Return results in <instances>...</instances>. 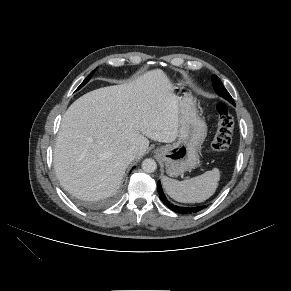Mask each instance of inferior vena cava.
Returning a JSON list of instances; mask_svg holds the SVG:
<instances>
[{"instance_id": "inferior-vena-cava-1", "label": "inferior vena cava", "mask_w": 291, "mask_h": 291, "mask_svg": "<svg viewBox=\"0 0 291 291\" xmlns=\"http://www.w3.org/2000/svg\"><path fill=\"white\" fill-rule=\"evenodd\" d=\"M137 150H138L137 147L132 146V147H130L129 149H127V150L125 151L124 156H125L128 160L132 161V160H134V158H135V155H136V153H137Z\"/></svg>"}]
</instances>
